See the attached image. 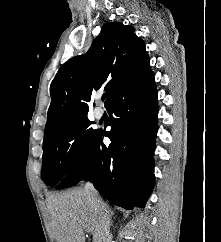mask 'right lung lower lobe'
<instances>
[{"label":"right lung lower lobe","instance_id":"1","mask_svg":"<svg viewBox=\"0 0 221 242\" xmlns=\"http://www.w3.org/2000/svg\"><path fill=\"white\" fill-rule=\"evenodd\" d=\"M157 103L151 70L124 86L106 107L111 115V130H97L81 160L56 188L90 180L111 203L125 209L143 207L155 180ZM103 136L111 140L109 146L103 143Z\"/></svg>","mask_w":221,"mask_h":242}]
</instances>
